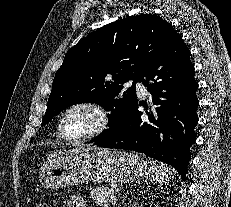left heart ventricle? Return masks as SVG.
<instances>
[{
	"mask_svg": "<svg viewBox=\"0 0 231 207\" xmlns=\"http://www.w3.org/2000/svg\"><path fill=\"white\" fill-rule=\"evenodd\" d=\"M96 125V115L86 108H77L71 111L64 122L66 134L73 138L82 137L88 134L96 127Z\"/></svg>",
	"mask_w": 231,
	"mask_h": 207,
	"instance_id": "left-heart-ventricle-1",
	"label": "left heart ventricle"
}]
</instances>
